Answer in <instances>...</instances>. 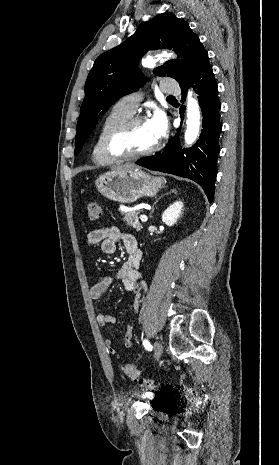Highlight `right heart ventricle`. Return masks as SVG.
<instances>
[{"label": "right heart ventricle", "instance_id": "right-heart-ventricle-1", "mask_svg": "<svg viewBox=\"0 0 279 465\" xmlns=\"http://www.w3.org/2000/svg\"><path fill=\"white\" fill-rule=\"evenodd\" d=\"M132 113L126 111L122 107H120L118 104L114 105L112 109L109 111V113L104 117L94 145L92 149V161L96 165L100 166H106L109 164H112L114 161L106 157V155L103 152V141L106 136V134L116 125L119 123L125 121L126 119L132 117Z\"/></svg>", "mask_w": 279, "mask_h": 465}]
</instances>
